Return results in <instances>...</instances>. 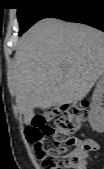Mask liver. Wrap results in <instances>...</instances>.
Masks as SVG:
<instances>
[{
    "label": "liver",
    "mask_w": 104,
    "mask_h": 169,
    "mask_svg": "<svg viewBox=\"0 0 104 169\" xmlns=\"http://www.w3.org/2000/svg\"><path fill=\"white\" fill-rule=\"evenodd\" d=\"M11 83L24 123L34 109L75 104L104 71V34L90 26L46 18L20 39Z\"/></svg>",
    "instance_id": "liver-1"
}]
</instances>
